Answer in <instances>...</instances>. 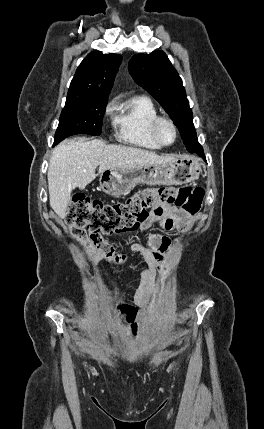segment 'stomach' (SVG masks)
<instances>
[{"label":"stomach","instance_id":"0dacf381","mask_svg":"<svg viewBox=\"0 0 264 429\" xmlns=\"http://www.w3.org/2000/svg\"><path fill=\"white\" fill-rule=\"evenodd\" d=\"M201 164L193 156H180L164 165H147L130 170L108 169L100 173V187L111 197L126 195L136 184L183 185L199 178Z\"/></svg>","mask_w":264,"mask_h":429}]
</instances>
